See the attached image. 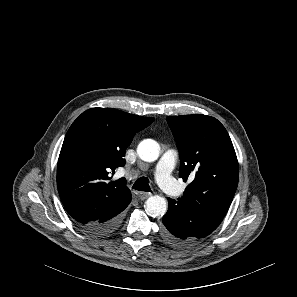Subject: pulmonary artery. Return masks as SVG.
Returning <instances> with one entry per match:
<instances>
[{"label": "pulmonary artery", "mask_w": 297, "mask_h": 297, "mask_svg": "<svg viewBox=\"0 0 297 297\" xmlns=\"http://www.w3.org/2000/svg\"><path fill=\"white\" fill-rule=\"evenodd\" d=\"M177 155L173 150L165 151L159 158L155 177L158 185L169 195L175 196L180 193V189L174 179L171 177L172 170L175 166Z\"/></svg>", "instance_id": "obj_1"}]
</instances>
